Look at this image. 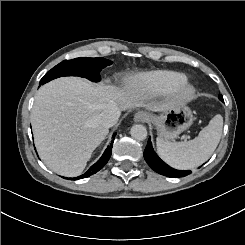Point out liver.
Here are the masks:
<instances>
[{
    "label": "liver",
    "instance_id": "1",
    "mask_svg": "<svg viewBox=\"0 0 245 245\" xmlns=\"http://www.w3.org/2000/svg\"><path fill=\"white\" fill-rule=\"evenodd\" d=\"M170 104L153 99L135 78L119 85L59 77L40 86L35 96L31 110L34 143L48 168L61 176L76 177L109 133L100 124L102 112L113 108L125 112L134 107L161 111Z\"/></svg>",
    "mask_w": 245,
    "mask_h": 245
}]
</instances>
